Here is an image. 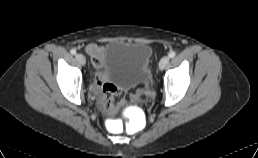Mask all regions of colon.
<instances>
[{"instance_id":"1","label":"colon","mask_w":258,"mask_h":158,"mask_svg":"<svg viewBox=\"0 0 258 158\" xmlns=\"http://www.w3.org/2000/svg\"><path fill=\"white\" fill-rule=\"evenodd\" d=\"M117 104H122L121 96L119 94L113 95L103 106L106 112H112Z\"/></svg>"}]
</instances>
